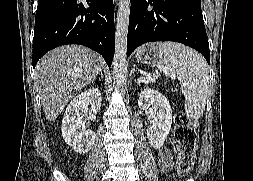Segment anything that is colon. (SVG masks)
<instances>
[{
    "instance_id": "colon-1",
    "label": "colon",
    "mask_w": 253,
    "mask_h": 181,
    "mask_svg": "<svg viewBox=\"0 0 253 181\" xmlns=\"http://www.w3.org/2000/svg\"><path fill=\"white\" fill-rule=\"evenodd\" d=\"M174 138L178 149L177 171L180 175H186L193 166L197 133L183 112L175 115Z\"/></svg>"
}]
</instances>
